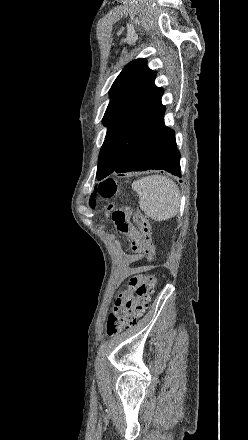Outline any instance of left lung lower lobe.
Masks as SVG:
<instances>
[{
  "label": "left lung lower lobe",
  "instance_id": "1",
  "mask_svg": "<svg viewBox=\"0 0 248 440\" xmlns=\"http://www.w3.org/2000/svg\"><path fill=\"white\" fill-rule=\"evenodd\" d=\"M149 169H162L181 177L180 153L177 150L175 132L165 124L131 148L113 172Z\"/></svg>",
  "mask_w": 248,
  "mask_h": 440
}]
</instances>
